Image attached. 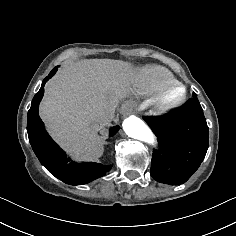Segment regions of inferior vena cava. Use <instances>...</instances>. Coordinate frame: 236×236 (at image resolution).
<instances>
[{"label":"inferior vena cava","instance_id":"inferior-vena-cava-1","mask_svg":"<svg viewBox=\"0 0 236 236\" xmlns=\"http://www.w3.org/2000/svg\"><path fill=\"white\" fill-rule=\"evenodd\" d=\"M103 122H110L113 119L114 112L104 111L101 113Z\"/></svg>","mask_w":236,"mask_h":236}]
</instances>
